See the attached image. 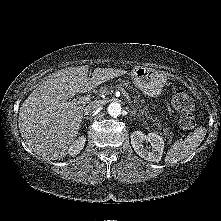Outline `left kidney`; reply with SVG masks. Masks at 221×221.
<instances>
[{
  "mask_svg": "<svg viewBox=\"0 0 221 221\" xmlns=\"http://www.w3.org/2000/svg\"><path fill=\"white\" fill-rule=\"evenodd\" d=\"M130 138L134 151L141 158L152 162H159L161 160L164 149V140L160 135L156 133L145 135L141 131H135L131 134ZM143 141H148L151 144L152 149H145L142 145Z\"/></svg>",
  "mask_w": 221,
  "mask_h": 221,
  "instance_id": "5707ae66",
  "label": "left kidney"
}]
</instances>
